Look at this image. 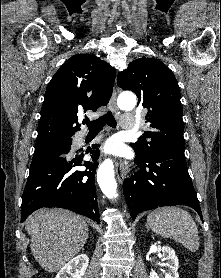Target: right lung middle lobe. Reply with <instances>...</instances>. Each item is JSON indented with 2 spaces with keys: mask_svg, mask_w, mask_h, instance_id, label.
I'll return each instance as SVG.
<instances>
[{
  "mask_svg": "<svg viewBox=\"0 0 221 278\" xmlns=\"http://www.w3.org/2000/svg\"><path fill=\"white\" fill-rule=\"evenodd\" d=\"M71 140V138H63L36 145L30 168H33L56 155L68 153L71 149Z\"/></svg>",
  "mask_w": 221,
  "mask_h": 278,
  "instance_id": "dd1d6c3e",
  "label": "right lung middle lobe"
}]
</instances>
